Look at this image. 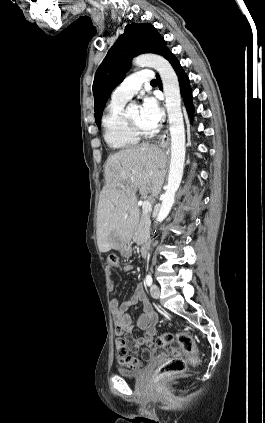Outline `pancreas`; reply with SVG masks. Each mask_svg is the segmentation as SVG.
Masks as SVG:
<instances>
[{"label": "pancreas", "instance_id": "obj_1", "mask_svg": "<svg viewBox=\"0 0 265 423\" xmlns=\"http://www.w3.org/2000/svg\"><path fill=\"white\" fill-rule=\"evenodd\" d=\"M150 227V214L143 212L138 225L136 226L133 238L135 242H143L148 235Z\"/></svg>", "mask_w": 265, "mask_h": 423}]
</instances>
